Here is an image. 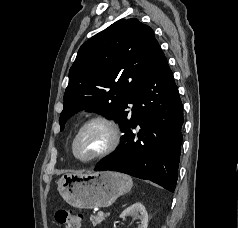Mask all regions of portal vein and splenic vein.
I'll return each mask as SVG.
<instances>
[{"instance_id": "1", "label": "portal vein and splenic vein", "mask_w": 238, "mask_h": 228, "mask_svg": "<svg viewBox=\"0 0 238 228\" xmlns=\"http://www.w3.org/2000/svg\"><path fill=\"white\" fill-rule=\"evenodd\" d=\"M98 215H99V216H103V215H104V212L99 211V212H98Z\"/></svg>"}]
</instances>
